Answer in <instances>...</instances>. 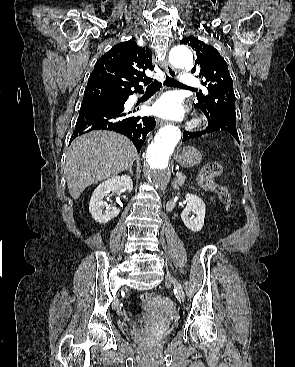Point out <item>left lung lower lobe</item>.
<instances>
[{
  "label": "left lung lower lobe",
  "mask_w": 295,
  "mask_h": 367,
  "mask_svg": "<svg viewBox=\"0 0 295 367\" xmlns=\"http://www.w3.org/2000/svg\"><path fill=\"white\" fill-rule=\"evenodd\" d=\"M206 117L208 119V126L202 131L184 132L183 141H186L190 138H196L211 132L224 131L231 134L237 140V142H239L236 128V118L231 115H221L215 117H210L206 115Z\"/></svg>",
  "instance_id": "left-lung-lower-lobe-1"
}]
</instances>
